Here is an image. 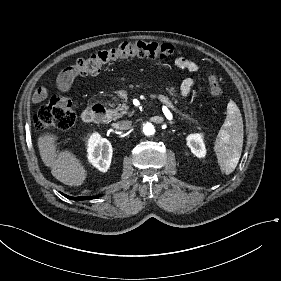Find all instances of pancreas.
Listing matches in <instances>:
<instances>
[{
    "label": "pancreas",
    "mask_w": 281,
    "mask_h": 281,
    "mask_svg": "<svg viewBox=\"0 0 281 281\" xmlns=\"http://www.w3.org/2000/svg\"><path fill=\"white\" fill-rule=\"evenodd\" d=\"M165 90L168 91V95L173 96V100H175V103L177 104L178 103V99H181V97L177 93L178 92V88L177 87H171V88L165 87ZM175 92H176V94H175ZM165 98H168V97H165ZM185 109H187V107ZM127 110H128V106H126L125 104L120 105L117 109H115L113 111L111 119L115 121V120L121 118L124 114L127 113ZM192 113H194V112H192Z\"/></svg>",
    "instance_id": "obj_1"
}]
</instances>
